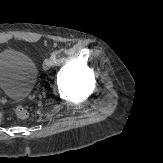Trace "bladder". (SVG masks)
I'll return each instance as SVG.
<instances>
[{
	"instance_id": "1",
	"label": "bladder",
	"mask_w": 163,
	"mask_h": 163,
	"mask_svg": "<svg viewBox=\"0 0 163 163\" xmlns=\"http://www.w3.org/2000/svg\"><path fill=\"white\" fill-rule=\"evenodd\" d=\"M36 63L25 53L6 49L0 51V92L13 99H24L37 80Z\"/></svg>"
}]
</instances>
